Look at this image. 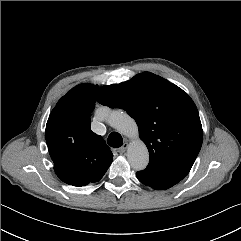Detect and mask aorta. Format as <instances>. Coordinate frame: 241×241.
<instances>
[{
	"label": "aorta",
	"instance_id": "1",
	"mask_svg": "<svg viewBox=\"0 0 241 241\" xmlns=\"http://www.w3.org/2000/svg\"><path fill=\"white\" fill-rule=\"evenodd\" d=\"M98 115L106 120L113 128L123 135L133 138L127 150V157L131 167L143 170L149 162V153L146 145L138 138V126L133 118L122 111H108L101 109Z\"/></svg>",
	"mask_w": 241,
	"mask_h": 241
}]
</instances>
